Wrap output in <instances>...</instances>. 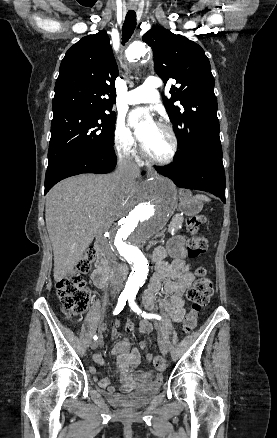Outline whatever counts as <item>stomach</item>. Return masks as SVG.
I'll list each match as a JSON object with an SVG mask.
<instances>
[{
    "label": "stomach",
    "instance_id": "obj_1",
    "mask_svg": "<svg viewBox=\"0 0 277 438\" xmlns=\"http://www.w3.org/2000/svg\"><path fill=\"white\" fill-rule=\"evenodd\" d=\"M179 200L180 202L178 208L185 215L195 216L200 213L203 208L202 201L196 197L191 196V194L187 191L181 192ZM174 243L175 249L173 250V253H175L181 247L179 240H175Z\"/></svg>",
    "mask_w": 277,
    "mask_h": 438
}]
</instances>
